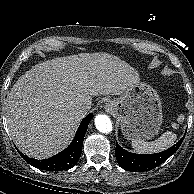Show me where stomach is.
Segmentation results:
<instances>
[{"mask_svg": "<svg viewBox=\"0 0 194 194\" xmlns=\"http://www.w3.org/2000/svg\"><path fill=\"white\" fill-rule=\"evenodd\" d=\"M105 109L118 119L124 137L129 140L151 139L163 120L159 95L141 82L129 86L119 98L108 100Z\"/></svg>", "mask_w": 194, "mask_h": 194, "instance_id": "stomach-1", "label": "stomach"}]
</instances>
